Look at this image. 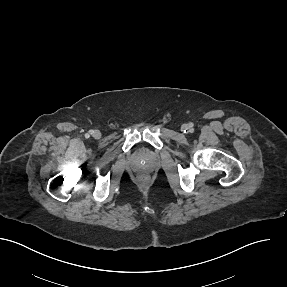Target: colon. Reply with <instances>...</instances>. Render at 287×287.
Instances as JSON below:
<instances>
[{
  "mask_svg": "<svg viewBox=\"0 0 287 287\" xmlns=\"http://www.w3.org/2000/svg\"><path fill=\"white\" fill-rule=\"evenodd\" d=\"M138 181H139L140 184L146 185V184L149 182V178H148L147 175L141 174V175L138 177Z\"/></svg>",
  "mask_w": 287,
  "mask_h": 287,
  "instance_id": "1",
  "label": "colon"
}]
</instances>
